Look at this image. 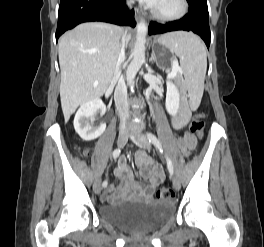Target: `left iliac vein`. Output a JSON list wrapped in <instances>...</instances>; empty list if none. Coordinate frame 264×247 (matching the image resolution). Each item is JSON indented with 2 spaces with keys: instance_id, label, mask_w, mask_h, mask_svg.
Listing matches in <instances>:
<instances>
[{
  "instance_id": "left-iliac-vein-1",
  "label": "left iliac vein",
  "mask_w": 264,
  "mask_h": 247,
  "mask_svg": "<svg viewBox=\"0 0 264 247\" xmlns=\"http://www.w3.org/2000/svg\"><path fill=\"white\" fill-rule=\"evenodd\" d=\"M131 140L141 148L150 149L151 145L147 137L142 133H136L130 136ZM172 184L175 190L180 189V181L176 176L172 178Z\"/></svg>"
}]
</instances>
